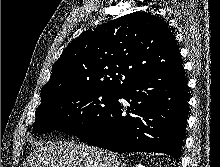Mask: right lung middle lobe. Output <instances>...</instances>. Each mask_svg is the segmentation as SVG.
<instances>
[{
	"instance_id": "dd1d6c3e",
	"label": "right lung middle lobe",
	"mask_w": 220,
	"mask_h": 167,
	"mask_svg": "<svg viewBox=\"0 0 220 167\" xmlns=\"http://www.w3.org/2000/svg\"><path fill=\"white\" fill-rule=\"evenodd\" d=\"M117 94V90L96 87L64 91L41 102L34 130L39 133L58 130L78 136L102 119Z\"/></svg>"
}]
</instances>
